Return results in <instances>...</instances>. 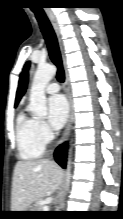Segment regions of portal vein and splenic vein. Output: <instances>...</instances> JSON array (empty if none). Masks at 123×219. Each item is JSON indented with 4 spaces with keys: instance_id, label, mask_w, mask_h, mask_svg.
Here are the masks:
<instances>
[{
    "instance_id": "obj_1",
    "label": "portal vein and splenic vein",
    "mask_w": 123,
    "mask_h": 219,
    "mask_svg": "<svg viewBox=\"0 0 123 219\" xmlns=\"http://www.w3.org/2000/svg\"><path fill=\"white\" fill-rule=\"evenodd\" d=\"M43 211H48V206H43Z\"/></svg>"
}]
</instances>
